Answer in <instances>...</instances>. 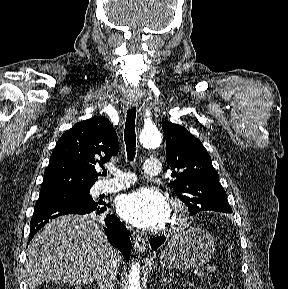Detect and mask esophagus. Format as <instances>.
Masks as SVG:
<instances>
[{
    "label": "esophagus",
    "mask_w": 288,
    "mask_h": 289,
    "mask_svg": "<svg viewBox=\"0 0 288 289\" xmlns=\"http://www.w3.org/2000/svg\"><path fill=\"white\" fill-rule=\"evenodd\" d=\"M136 105H137V102L135 101L126 102V106L128 109L134 108ZM132 240H133L134 249L138 253H144L146 250V242L144 238L141 237L140 235H133Z\"/></svg>",
    "instance_id": "obj_1"
}]
</instances>
